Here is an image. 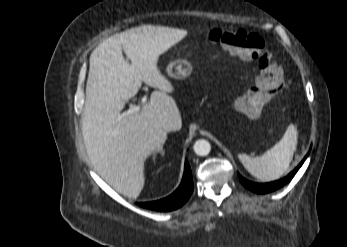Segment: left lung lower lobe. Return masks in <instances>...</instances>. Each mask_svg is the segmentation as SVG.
<instances>
[{"label": "left lung lower lobe", "mask_w": 347, "mask_h": 247, "mask_svg": "<svg viewBox=\"0 0 347 247\" xmlns=\"http://www.w3.org/2000/svg\"><path fill=\"white\" fill-rule=\"evenodd\" d=\"M307 156L302 160V162L287 177H285L281 180H278V181H274V182H270V183H266V184H259V183L250 182V181L244 179L240 174H238V177H239L241 183L245 187H247L248 189H250L256 193H259V194L269 193V192L275 191V190L281 188L282 186H284L285 184H287L294 177V175L299 170V168L302 166V164L306 160Z\"/></svg>", "instance_id": "obj_1"}]
</instances>
